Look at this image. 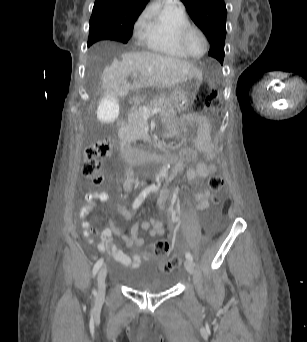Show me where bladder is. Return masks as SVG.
I'll return each mask as SVG.
<instances>
[{"mask_svg":"<svg viewBox=\"0 0 307 342\" xmlns=\"http://www.w3.org/2000/svg\"><path fill=\"white\" fill-rule=\"evenodd\" d=\"M125 283L131 289L149 293H160L169 290L174 285L173 278L141 264L129 266Z\"/></svg>","mask_w":307,"mask_h":342,"instance_id":"1","label":"bladder"}]
</instances>
